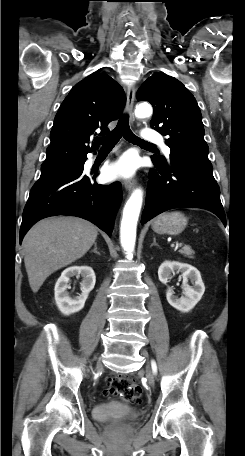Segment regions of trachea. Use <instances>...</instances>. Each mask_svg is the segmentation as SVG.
Masks as SVG:
<instances>
[{
    "label": "trachea",
    "mask_w": 245,
    "mask_h": 456,
    "mask_svg": "<svg viewBox=\"0 0 245 456\" xmlns=\"http://www.w3.org/2000/svg\"><path fill=\"white\" fill-rule=\"evenodd\" d=\"M123 137L130 143L143 145V146H152L153 144L146 142L136 135L133 134L129 127L128 117L124 115L118 122L114 130L101 138H96L95 141L102 145V147H113L117 142Z\"/></svg>",
    "instance_id": "3493384b"
}]
</instances>
